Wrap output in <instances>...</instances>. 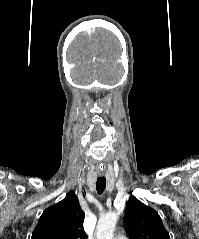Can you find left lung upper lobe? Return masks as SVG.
<instances>
[{
    "mask_svg": "<svg viewBox=\"0 0 199 239\" xmlns=\"http://www.w3.org/2000/svg\"><path fill=\"white\" fill-rule=\"evenodd\" d=\"M124 225L130 239H170L159 214L133 196L126 203Z\"/></svg>",
    "mask_w": 199,
    "mask_h": 239,
    "instance_id": "obj_1",
    "label": "left lung upper lobe"
}]
</instances>
